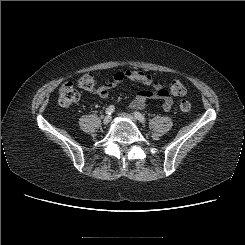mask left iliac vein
<instances>
[{"mask_svg":"<svg viewBox=\"0 0 245 245\" xmlns=\"http://www.w3.org/2000/svg\"><path fill=\"white\" fill-rule=\"evenodd\" d=\"M121 117H124L126 119L131 120L132 122L136 123V118L128 113H120L119 114Z\"/></svg>","mask_w":245,"mask_h":245,"instance_id":"obj_1","label":"left iliac vein"}]
</instances>
